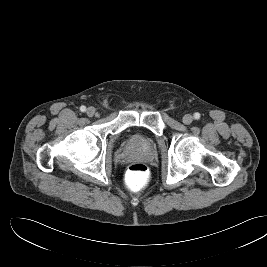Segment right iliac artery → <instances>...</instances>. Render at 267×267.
I'll list each match as a JSON object with an SVG mask.
<instances>
[{"instance_id":"obj_1","label":"right iliac artery","mask_w":267,"mask_h":267,"mask_svg":"<svg viewBox=\"0 0 267 267\" xmlns=\"http://www.w3.org/2000/svg\"><path fill=\"white\" fill-rule=\"evenodd\" d=\"M80 111H81V112H85V111H86V107H85V106H81V107H80Z\"/></svg>"}]
</instances>
